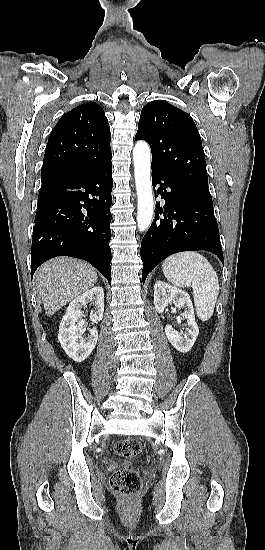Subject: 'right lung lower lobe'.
<instances>
[{"mask_svg": "<svg viewBox=\"0 0 265 550\" xmlns=\"http://www.w3.org/2000/svg\"><path fill=\"white\" fill-rule=\"evenodd\" d=\"M112 163L55 176L42 183L32 239L31 278L56 256L84 259L111 284Z\"/></svg>", "mask_w": 265, "mask_h": 550, "instance_id": "1", "label": "right lung lower lobe"}]
</instances>
